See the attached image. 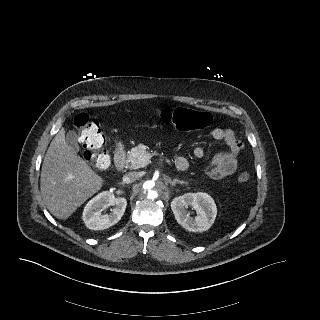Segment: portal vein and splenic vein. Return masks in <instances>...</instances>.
Wrapping results in <instances>:
<instances>
[{
    "mask_svg": "<svg viewBox=\"0 0 320 320\" xmlns=\"http://www.w3.org/2000/svg\"><path fill=\"white\" fill-rule=\"evenodd\" d=\"M150 157H151V155L148 154L145 158H146V159H150Z\"/></svg>",
    "mask_w": 320,
    "mask_h": 320,
    "instance_id": "obj_1",
    "label": "portal vein and splenic vein"
}]
</instances>
